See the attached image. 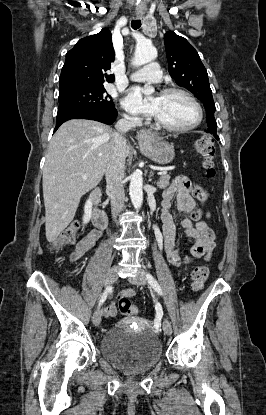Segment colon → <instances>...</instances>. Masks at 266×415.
Returning a JSON list of instances; mask_svg holds the SVG:
<instances>
[{
	"label": "colon",
	"instance_id": "obj_1",
	"mask_svg": "<svg viewBox=\"0 0 266 415\" xmlns=\"http://www.w3.org/2000/svg\"><path fill=\"white\" fill-rule=\"evenodd\" d=\"M194 148L195 151L203 158V167L206 174L209 177H213L215 175L213 162L215 146L213 139L211 137H202L195 142ZM194 195L202 203L205 202L208 197L207 191L200 186L195 188ZM202 214L203 213L201 211H198L195 213V217L199 218ZM78 231L79 223L77 221L71 223L54 241L53 247L55 249H59L63 246L74 244L78 236ZM208 275L209 269L207 266L196 265L191 272L192 289L195 291L200 290L207 280ZM118 307L120 313L125 316H132L137 313V307L126 297L119 299Z\"/></svg>",
	"mask_w": 266,
	"mask_h": 415
}]
</instances>
